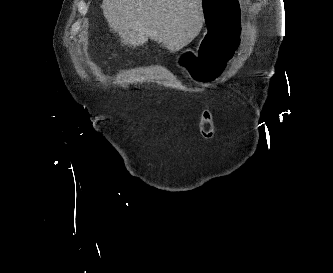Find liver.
<instances>
[{"label":"liver","mask_w":333,"mask_h":273,"mask_svg":"<svg viewBox=\"0 0 333 273\" xmlns=\"http://www.w3.org/2000/svg\"><path fill=\"white\" fill-rule=\"evenodd\" d=\"M101 8L110 28L128 46L149 39L176 52L201 31L202 0H103Z\"/></svg>","instance_id":"obj_1"}]
</instances>
